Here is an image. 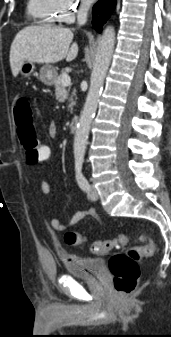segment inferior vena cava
<instances>
[{
	"label": "inferior vena cava",
	"instance_id": "obj_1",
	"mask_svg": "<svg viewBox=\"0 0 171 337\" xmlns=\"http://www.w3.org/2000/svg\"><path fill=\"white\" fill-rule=\"evenodd\" d=\"M89 7H90V4L87 2L83 3L80 6L78 10V14H77V21L79 25H83L86 23Z\"/></svg>",
	"mask_w": 171,
	"mask_h": 337
}]
</instances>
